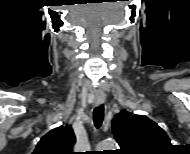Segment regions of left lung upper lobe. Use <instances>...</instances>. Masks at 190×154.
<instances>
[{
	"label": "left lung upper lobe",
	"mask_w": 190,
	"mask_h": 154,
	"mask_svg": "<svg viewBox=\"0 0 190 154\" xmlns=\"http://www.w3.org/2000/svg\"><path fill=\"white\" fill-rule=\"evenodd\" d=\"M112 129L120 154H163L172 146L165 131L144 115L122 110L116 114Z\"/></svg>",
	"instance_id": "obj_1"
}]
</instances>
